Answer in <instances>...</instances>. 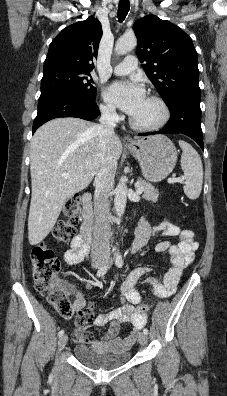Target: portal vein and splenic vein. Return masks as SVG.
Returning <instances> with one entry per match:
<instances>
[{
    "label": "portal vein and splenic vein",
    "instance_id": "portal-vein-and-splenic-vein-1",
    "mask_svg": "<svg viewBox=\"0 0 227 396\" xmlns=\"http://www.w3.org/2000/svg\"><path fill=\"white\" fill-rule=\"evenodd\" d=\"M63 177H64V178H68V177H69V174H63ZM182 180H183L182 178H172L170 182H181ZM135 187H136V193H137V194H142V192H143V187H140V186L138 185V183L135 184Z\"/></svg>",
    "mask_w": 227,
    "mask_h": 396
}]
</instances>
